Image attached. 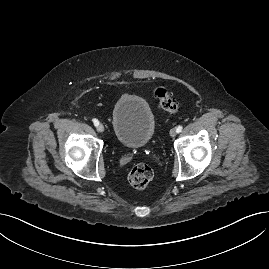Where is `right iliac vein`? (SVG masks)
Masks as SVG:
<instances>
[{"mask_svg": "<svg viewBox=\"0 0 269 269\" xmlns=\"http://www.w3.org/2000/svg\"><path fill=\"white\" fill-rule=\"evenodd\" d=\"M97 131L98 132H103L104 131V126L102 124H99L97 127H96Z\"/></svg>", "mask_w": 269, "mask_h": 269, "instance_id": "obj_1", "label": "right iliac vein"}]
</instances>
